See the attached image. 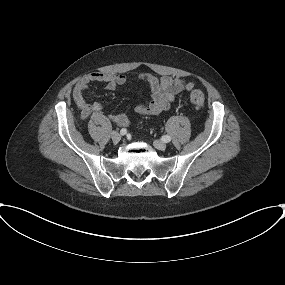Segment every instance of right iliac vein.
Returning a JSON list of instances; mask_svg holds the SVG:
<instances>
[{
	"label": "right iliac vein",
	"mask_w": 285,
	"mask_h": 285,
	"mask_svg": "<svg viewBox=\"0 0 285 285\" xmlns=\"http://www.w3.org/2000/svg\"><path fill=\"white\" fill-rule=\"evenodd\" d=\"M111 138L114 143H118L121 140V135L117 131H112Z\"/></svg>",
	"instance_id": "right-iliac-vein-1"
}]
</instances>
